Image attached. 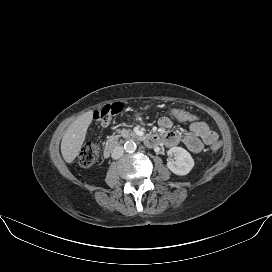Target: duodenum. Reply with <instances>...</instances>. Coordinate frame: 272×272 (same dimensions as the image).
I'll use <instances>...</instances> for the list:
<instances>
[{
	"label": "duodenum",
	"mask_w": 272,
	"mask_h": 272,
	"mask_svg": "<svg viewBox=\"0 0 272 272\" xmlns=\"http://www.w3.org/2000/svg\"><path fill=\"white\" fill-rule=\"evenodd\" d=\"M135 137V136H133ZM144 141L154 147L157 146L160 142V138L157 134H148L146 136H144ZM118 145V139L117 138H111L109 139L103 149V156L104 157H109L111 155V153L113 152V150L116 148V146Z\"/></svg>",
	"instance_id": "obj_1"
}]
</instances>
